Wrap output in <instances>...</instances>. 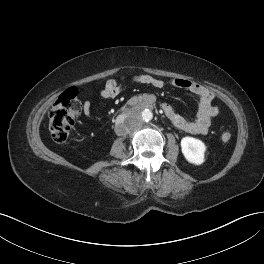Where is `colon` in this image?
I'll use <instances>...</instances> for the list:
<instances>
[{
  "instance_id": "obj_1",
  "label": "colon",
  "mask_w": 264,
  "mask_h": 264,
  "mask_svg": "<svg viewBox=\"0 0 264 264\" xmlns=\"http://www.w3.org/2000/svg\"><path fill=\"white\" fill-rule=\"evenodd\" d=\"M116 84L120 85L117 81ZM81 111V105L77 98V91L70 88L64 91L49 111V131L53 140L57 143H65L77 116ZM232 137L230 130L221 134L223 142H228Z\"/></svg>"
}]
</instances>
